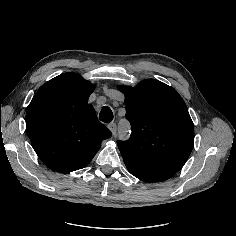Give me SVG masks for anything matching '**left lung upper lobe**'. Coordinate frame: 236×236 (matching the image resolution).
Wrapping results in <instances>:
<instances>
[{
  "label": "left lung upper lobe",
  "instance_id": "1",
  "mask_svg": "<svg viewBox=\"0 0 236 236\" xmlns=\"http://www.w3.org/2000/svg\"><path fill=\"white\" fill-rule=\"evenodd\" d=\"M132 133L118 147L127 169L145 182L171 178L187 161L194 125L177 91L154 79L135 87L120 85Z\"/></svg>",
  "mask_w": 236,
  "mask_h": 236
}]
</instances>
